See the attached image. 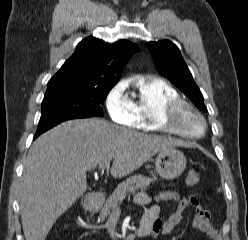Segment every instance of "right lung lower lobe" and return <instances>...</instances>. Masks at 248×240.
I'll return each mask as SVG.
<instances>
[{
  "label": "right lung lower lobe",
  "instance_id": "1",
  "mask_svg": "<svg viewBox=\"0 0 248 240\" xmlns=\"http://www.w3.org/2000/svg\"><path fill=\"white\" fill-rule=\"evenodd\" d=\"M59 123H61V122L38 124L37 132H36V134L34 136V139H36L40 134H42L43 132L49 130L50 128H52L54 126H56Z\"/></svg>",
  "mask_w": 248,
  "mask_h": 240
}]
</instances>
